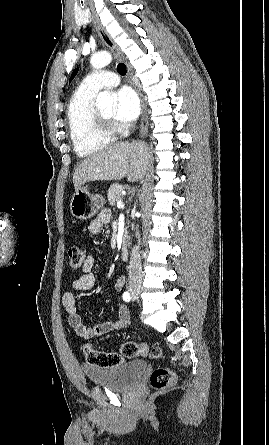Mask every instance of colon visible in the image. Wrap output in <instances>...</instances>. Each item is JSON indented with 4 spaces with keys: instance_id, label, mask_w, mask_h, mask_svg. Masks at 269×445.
<instances>
[{
    "instance_id": "obj_1",
    "label": "colon",
    "mask_w": 269,
    "mask_h": 445,
    "mask_svg": "<svg viewBox=\"0 0 269 445\" xmlns=\"http://www.w3.org/2000/svg\"><path fill=\"white\" fill-rule=\"evenodd\" d=\"M68 258L69 266L73 270L82 268L85 261L84 252L79 247H71L68 250ZM148 352L146 344L134 341L124 342L119 353L98 351L88 345L83 347L86 362L100 368L115 367L122 364L126 359L146 356ZM150 355L154 359H160L163 356V351L159 347H154L150 350ZM175 380V374L167 368H156L149 377L151 387L156 390H163L172 386Z\"/></svg>"
}]
</instances>
